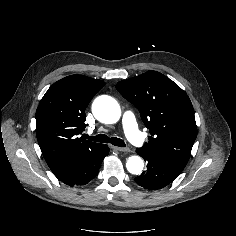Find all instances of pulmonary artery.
I'll use <instances>...</instances> for the list:
<instances>
[{"label":"pulmonary artery","instance_id":"obj_1","mask_svg":"<svg viewBox=\"0 0 236 236\" xmlns=\"http://www.w3.org/2000/svg\"><path fill=\"white\" fill-rule=\"evenodd\" d=\"M122 124L124 132L131 143L136 146H142L144 143V138L138 129L135 116L132 112L127 111L123 114Z\"/></svg>","mask_w":236,"mask_h":236}]
</instances>
